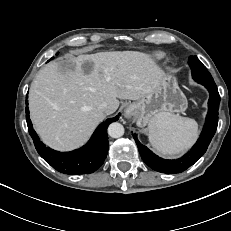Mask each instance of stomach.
I'll use <instances>...</instances> for the list:
<instances>
[{
	"label": "stomach",
	"instance_id": "stomach-1",
	"mask_svg": "<svg viewBox=\"0 0 231 231\" xmlns=\"http://www.w3.org/2000/svg\"><path fill=\"white\" fill-rule=\"evenodd\" d=\"M135 110L138 126H145L164 113H181L186 109L187 101L172 76H166L159 87L150 95L131 104Z\"/></svg>",
	"mask_w": 231,
	"mask_h": 231
}]
</instances>
